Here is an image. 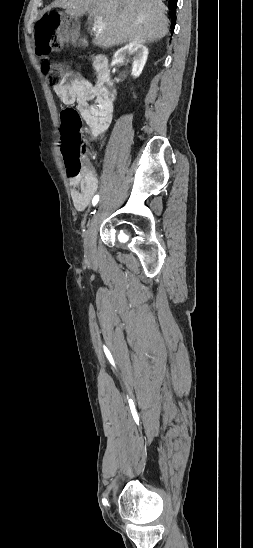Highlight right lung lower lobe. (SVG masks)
<instances>
[{
	"instance_id": "98d812e1",
	"label": "right lung lower lobe",
	"mask_w": 253,
	"mask_h": 548,
	"mask_svg": "<svg viewBox=\"0 0 253 548\" xmlns=\"http://www.w3.org/2000/svg\"><path fill=\"white\" fill-rule=\"evenodd\" d=\"M168 3L170 5V7L173 9V14H172V17H171V20L173 22V27L172 29H174V26H175V23H176V6H177V0H168Z\"/></svg>"
}]
</instances>
